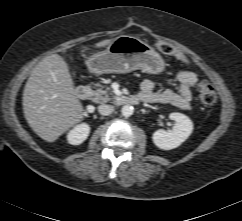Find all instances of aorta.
<instances>
[{
    "instance_id": "762f6f07",
    "label": "aorta",
    "mask_w": 242,
    "mask_h": 221,
    "mask_svg": "<svg viewBox=\"0 0 242 221\" xmlns=\"http://www.w3.org/2000/svg\"><path fill=\"white\" fill-rule=\"evenodd\" d=\"M134 112V108L131 105H124L121 109V113L124 117H130Z\"/></svg>"
}]
</instances>
